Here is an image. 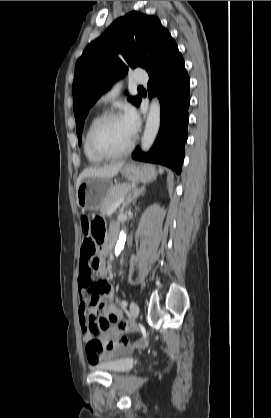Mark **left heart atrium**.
<instances>
[{"label": "left heart atrium", "instance_id": "obj_1", "mask_svg": "<svg viewBox=\"0 0 271 418\" xmlns=\"http://www.w3.org/2000/svg\"><path fill=\"white\" fill-rule=\"evenodd\" d=\"M121 118L129 134L133 137L140 123L138 114L133 108H127Z\"/></svg>", "mask_w": 271, "mask_h": 418}]
</instances>
